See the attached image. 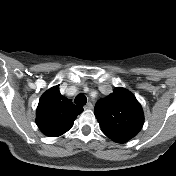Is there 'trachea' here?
Here are the masks:
<instances>
[{
    "instance_id": "1",
    "label": "trachea",
    "mask_w": 176,
    "mask_h": 176,
    "mask_svg": "<svg viewBox=\"0 0 176 176\" xmlns=\"http://www.w3.org/2000/svg\"><path fill=\"white\" fill-rule=\"evenodd\" d=\"M74 103L75 104H78V105H85L87 103V98L84 94H78L76 97H75V100H74Z\"/></svg>"
}]
</instances>
